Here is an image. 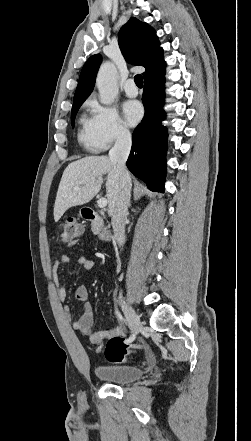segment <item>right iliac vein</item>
Segmentation results:
<instances>
[{
	"label": "right iliac vein",
	"mask_w": 251,
	"mask_h": 441,
	"mask_svg": "<svg viewBox=\"0 0 251 441\" xmlns=\"http://www.w3.org/2000/svg\"><path fill=\"white\" fill-rule=\"evenodd\" d=\"M122 309L132 332L134 333V335H137L141 328L139 317L137 316L132 306L128 304L125 300H122Z\"/></svg>",
	"instance_id": "right-iliac-vein-1"
}]
</instances>
